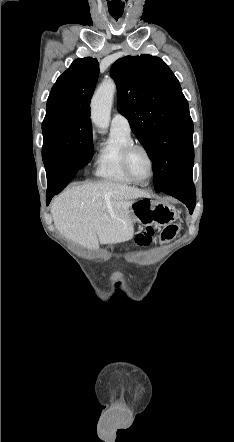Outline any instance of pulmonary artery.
I'll use <instances>...</instances> for the list:
<instances>
[{
  "label": "pulmonary artery",
  "instance_id": "obj_1",
  "mask_svg": "<svg viewBox=\"0 0 234 442\" xmlns=\"http://www.w3.org/2000/svg\"><path fill=\"white\" fill-rule=\"evenodd\" d=\"M112 129H120L123 131H131L130 123L128 119L121 113H115L111 121Z\"/></svg>",
  "mask_w": 234,
  "mask_h": 442
}]
</instances>
